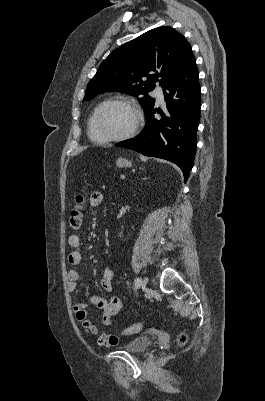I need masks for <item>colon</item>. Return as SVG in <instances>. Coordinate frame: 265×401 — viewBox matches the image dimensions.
<instances>
[{
  "instance_id": "1",
  "label": "colon",
  "mask_w": 265,
  "mask_h": 401,
  "mask_svg": "<svg viewBox=\"0 0 265 401\" xmlns=\"http://www.w3.org/2000/svg\"><path fill=\"white\" fill-rule=\"evenodd\" d=\"M85 203V196L83 193H79L76 196V206L75 208L71 211L70 216H69V225L72 230H78L81 225H82V220H83V205ZM143 328V325L141 322L135 323L132 326L126 327L121 330V334L123 335H129L133 333H137L141 331ZM187 340V337L185 334H179L177 341L180 345L185 344Z\"/></svg>"
}]
</instances>
